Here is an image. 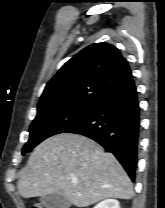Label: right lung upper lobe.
Wrapping results in <instances>:
<instances>
[{
    "label": "right lung upper lobe",
    "instance_id": "1",
    "mask_svg": "<svg viewBox=\"0 0 165 208\" xmlns=\"http://www.w3.org/2000/svg\"><path fill=\"white\" fill-rule=\"evenodd\" d=\"M131 80L130 67L120 51L111 44L96 43L61 67L46 85L38 108L63 102L97 103Z\"/></svg>",
    "mask_w": 165,
    "mask_h": 208
}]
</instances>
